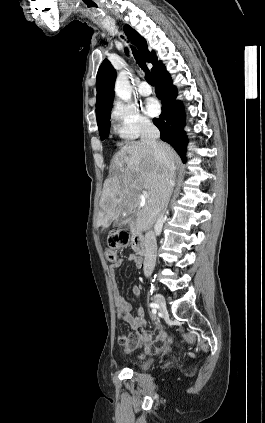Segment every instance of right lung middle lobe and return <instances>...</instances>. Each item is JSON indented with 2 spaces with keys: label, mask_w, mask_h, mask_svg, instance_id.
Segmentation results:
<instances>
[{
  "label": "right lung middle lobe",
  "mask_w": 265,
  "mask_h": 423,
  "mask_svg": "<svg viewBox=\"0 0 265 423\" xmlns=\"http://www.w3.org/2000/svg\"><path fill=\"white\" fill-rule=\"evenodd\" d=\"M98 128H99V134H100L101 140H104L105 138H107L109 136V130H110V113L107 114L103 118V120L101 121V123L98 124Z\"/></svg>",
  "instance_id": "obj_1"
}]
</instances>
